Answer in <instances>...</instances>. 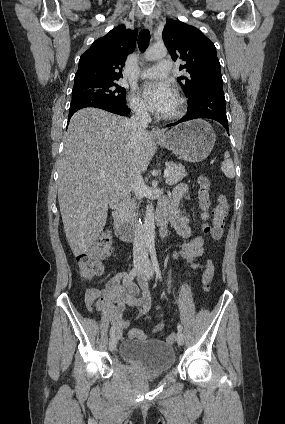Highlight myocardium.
<instances>
[{"label": "myocardium", "mask_w": 285, "mask_h": 424, "mask_svg": "<svg viewBox=\"0 0 285 424\" xmlns=\"http://www.w3.org/2000/svg\"><path fill=\"white\" fill-rule=\"evenodd\" d=\"M176 100L178 102V107L175 112L167 115H163L162 118L164 120H176L182 117L186 110V101L185 98L181 95H176Z\"/></svg>", "instance_id": "1"}]
</instances>
